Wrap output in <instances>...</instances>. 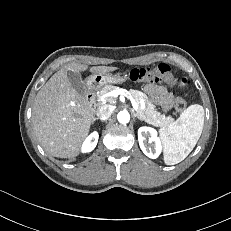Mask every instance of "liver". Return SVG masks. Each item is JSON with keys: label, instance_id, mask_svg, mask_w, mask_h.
I'll return each mask as SVG.
<instances>
[{"label": "liver", "instance_id": "liver-1", "mask_svg": "<svg viewBox=\"0 0 231 231\" xmlns=\"http://www.w3.org/2000/svg\"><path fill=\"white\" fill-rule=\"evenodd\" d=\"M85 64L70 63L56 72L38 91L32 123L35 136L46 152L59 158H73L90 131L94 108L71 85L67 73H80ZM117 67L93 66L90 72L108 73Z\"/></svg>", "mask_w": 231, "mask_h": 231}]
</instances>
